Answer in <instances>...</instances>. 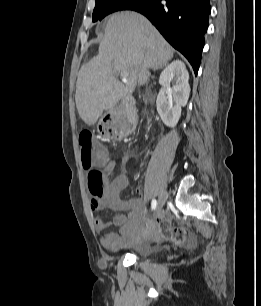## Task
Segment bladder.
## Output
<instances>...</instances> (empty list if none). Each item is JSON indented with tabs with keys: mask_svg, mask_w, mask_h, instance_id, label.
<instances>
[{
	"mask_svg": "<svg viewBox=\"0 0 261 306\" xmlns=\"http://www.w3.org/2000/svg\"><path fill=\"white\" fill-rule=\"evenodd\" d=\"M153 250L146 244L140 243L136 250V256L143 260L153 261Z\"/></svg>",
	"mask_w": 261,
	"mask_h": 306,
	"instance_id": "obj_1",
	"label": "bladder"
}]
</instances>
